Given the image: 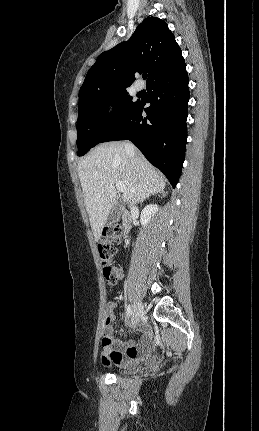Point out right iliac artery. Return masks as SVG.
I'll return each mask as SVG.
<instances>
[{
	"mask_svg": "<svg viewBox=\"0 0 259 431\" xmlns=\"http://www.w3.org/2000/svg\"><path fill=\"white\" fill-rule=\"evenodd\" d=\"M132 315V308L130 305L127 306V317L129 318Z\"/></svg>",
	"mask_w": 259,
	"mask_h": 431,
	"instance_id": "82829eb1",
	"label": "right iliac artery"
}]
</instances>
